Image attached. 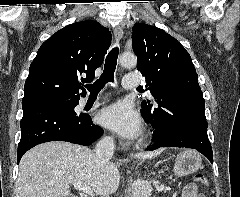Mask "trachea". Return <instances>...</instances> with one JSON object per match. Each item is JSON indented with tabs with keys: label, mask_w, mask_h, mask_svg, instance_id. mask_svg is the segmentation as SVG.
<instances>
[{
	"label": "trachea",
	"mask_w": 240,
	"mask_h": 197,
	"mask_svg": "<svg viewBox=\"0 0 240 197\" xmlns=\"http://www.w3.org/2000/svg\"><path fill=\"white\" fill-rule=\"evenodd\" d=\"M119 49L114 47L107 55L104 64V70L100 78L97 79L93 84L86 85L85 87L90 92V94H98L101 89L108 82H114V72L116 69L117 59H118Z\"/></svg>",
	"instance_id": "3493384b"
}]
</instances>
